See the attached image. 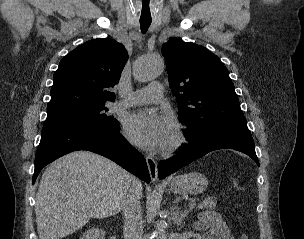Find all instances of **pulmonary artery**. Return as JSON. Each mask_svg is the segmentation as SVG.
<instances>
[{
  "label": "pulmonary artery",
  "instance_id": "obj_1",
  "mask_svg": "<svg viewBox=\"0 0 304 239\" xmlns=\"http://www.w3.org/2000/svg\"><path fill=\"white\" fill-rule=\"evenodd\" d=\"M163 99V86L160 83H153L145 88L129 94L123 101L115 105V108H125L134 105L152 104Z\"/></svg>",
  "mask_w": 304,
  "mask_h": 239
}]
</instances>
